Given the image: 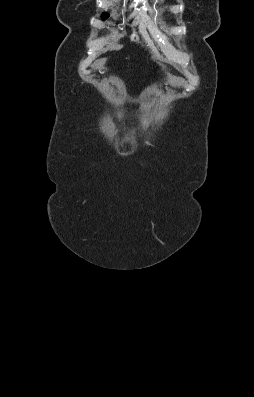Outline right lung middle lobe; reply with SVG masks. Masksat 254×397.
<instances>
[{
	"label": "right lung middle lobe",
	"instance_id": "1",
	"mask_svg": "<svg viewBox=\"0 0 254 397\" xmlns=\"http://www.w3.org/2000/svg\"><path fill=\"white\" fill-rule=\"evenodd\" d=\"M102 19H107L108 17H109V14H107V13H104V14H102Z\"/></svg>",
	"mask_w": 254,
	"mask_h": 397
}]
</instances>
